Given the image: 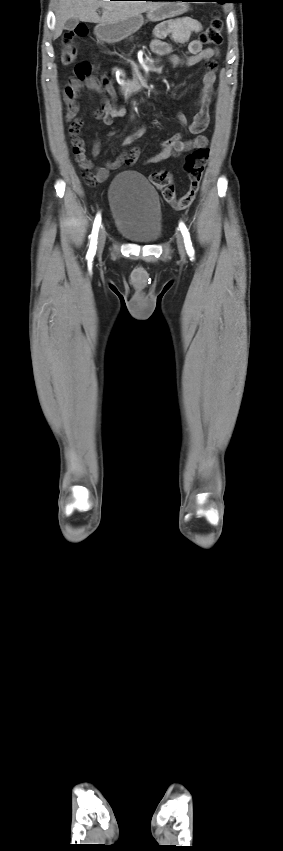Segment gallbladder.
<instances>
[{"label":"gallbladder","mask_w":283,"mask_h":851,"mask_svg":"<svg viewBox=\"0 0 283 851\" xmlns=\"http://www.w3.org/2000/svg\"><path fill=\"white\" fill-rule=\"evenodd\" d=\"M78 23H79L78 19H75V18L68 19L64 24V29L71 31V30L76 28Z\"/></svg>","instance_id":"1"}]
</instances>
